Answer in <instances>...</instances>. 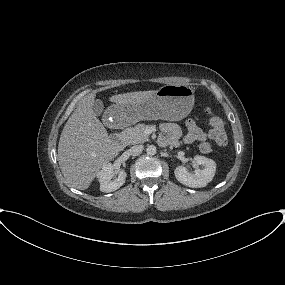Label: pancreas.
<instances>
[{
  "label": "pancreas",
  "instance_id": "cf45deb5",
  "mask_svg": "<svg viewBox=\"0 0 285 285\" xmlns=\"http://www.w3.org/2000/svg\"><path fill=\"white\" fill-rule=\"evenodd\" d=\"M149 127L144 123H139L134 127L126 128L122 132V140L126 145H133L137 143H144L149 140L145 130Z\"/></svg>",
  "mask_w": 285,
  "mask_h": 285
}]
</instances>
